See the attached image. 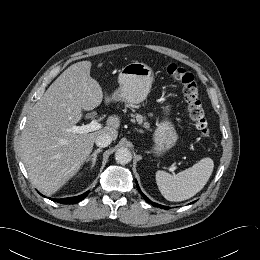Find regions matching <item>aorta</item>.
<instances>
[{"mask_svg": "<svg viewBox=\"0 0 260 260\" xmlns=\"http://www.w3.org/2000/svg\"><path fill=\"white\" fill-rule=\"evenodd\" d=\"M115 159L119 164H128L132 160V154L128 148L121 147L116 151Z\"/></svg>", "mask_w": 260, "mask_h": 260, "instance_id": "762f6f07", "label": "aorta"}]
</instances>
